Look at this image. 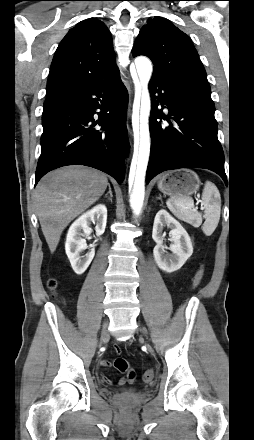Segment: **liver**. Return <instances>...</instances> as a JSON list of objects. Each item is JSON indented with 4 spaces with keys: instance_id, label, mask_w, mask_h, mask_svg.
<instances>
[{
    "instance_id": "6515ba94",
    "label": "liver",
    "mask_w": 254,
    "mask_h": 440,
    "mask_svg": "<svg viewBox=\"0 0 254 440\" xmlns=\"http://www.w3.org/2000/svg\"><path fill=\"white\" fill-rule=\"evenodd\" d=\"M106 175L84 166H66L46 174L34 190L41 229L51 253L67 225L105 192Z\"/></svg>"
}]
</instances>
